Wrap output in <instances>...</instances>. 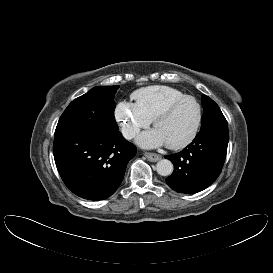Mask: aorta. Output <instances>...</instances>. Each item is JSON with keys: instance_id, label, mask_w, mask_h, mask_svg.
<instances>
[{"instance_id": "obj_1", "label": "aorta", "mask_w": 273, "mask_h": 273, "mask_svg": "<svg viewBox=\"0 0 273 273\" xmlns=\"http://www.w3.org/2000/svg\"><path fill=\"white\" fill-rule=\"evenodd\" d=\"M156 171L161 176H169L173 172V164L168 159H162L157 162Z\"/></svg>"}]
</instances>
